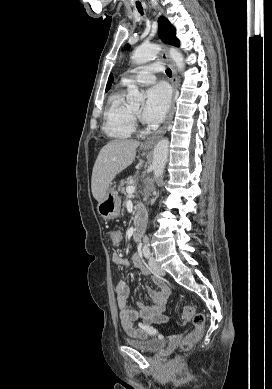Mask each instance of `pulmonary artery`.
Wrapping results in <instances>:
<instances>
[{
	"label": "pulmonary artery",
	"instance_id": "e3ab8cb5",
	"mask_svg": "<svg viewBox=\"0 0 272 389\" xmlns=\"http://www.w3.org/2000/svg\"><path fill=\"white\" fill-rule=\"evenodd\" d=\"M163 67L160 63H152L137 67L130 73L123 76L121 82L123 85L138 83L143 85L152 84L156 81L155 74L162 72Z\"/></svg>",
	"mask_w": 272,
	"mask_h": 389
}]
</instances>
